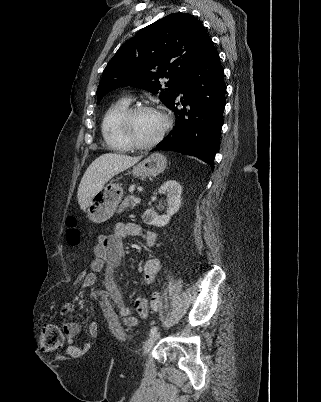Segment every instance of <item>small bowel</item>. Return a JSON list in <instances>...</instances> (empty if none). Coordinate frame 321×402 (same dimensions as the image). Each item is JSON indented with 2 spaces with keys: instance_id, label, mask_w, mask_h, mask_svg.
Here are the masks:
<instances>
[{
  "instance_id": "small-bowel-1",
  "label": "small bowel",
  "mask_w": 321,
  "mask_h": 402,
  "mask_svg": "<svg viewBox=\"0 0 321 402\" xmlns=\"http://www.w3.org/2000/svg\"><path fill=\"white\" fill-rule=\"evenodd\" d=\"M129 236H141L148 246H154L157 242V234L153 230L143 228L134 222L118 223L112 233L99 237L92 251L93 258L90 263V271L85 275V281L83 284L85 286L92 285L96 280L97 274L103 272V286L108 297L118 309L124 324L133 327L137 324V318L132 314V309L125 304L114 279L115 271L125 253L123 241ZM160 268V258L153 257L146 261L143 266V277L145 281L151 283L155 279ZM141 303L146 304V300L143 298H137L135 300V308L137 304ZM71 311L72 306L70 304H62L59 308V313L62 316L69 315ZM140 315L142 317H147L148 313ZM91 325L92 326H88L85 329L87 334L85 337L86 341H81L78 346L76 345V340L81 331L80 325L75 322H67L63 324L66 336L67 354L70 357L83 358V350H88L90 347L89 343L95 342V335H99L100 333V324L95 320Z\"/></svg>"
}]
</instances>
